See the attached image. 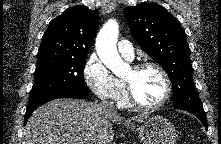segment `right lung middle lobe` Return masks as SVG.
<instances>
[{"label":"right lung middle lobe","mask_w":221,"mask_h":144,"mask_svg":"<svg viewBox=\"0 0 221 144\" xmlns=\"http://www.w3.org/2000/svg\"><path fill=\"white\" fill-rule=\"evenodd\" d=\"M86 56H37L33 87L27 107L33 106L48 95L63 90L89 92L84 79Z\"/></svg>","instance_id":"obj_1"}]
</instances>
